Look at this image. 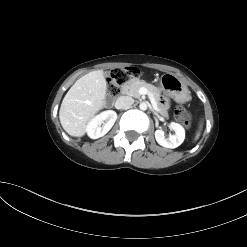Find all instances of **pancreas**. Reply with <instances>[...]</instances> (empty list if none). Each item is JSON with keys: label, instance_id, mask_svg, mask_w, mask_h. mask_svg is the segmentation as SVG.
I'll return each mask as SVG.
<instances>
[{"label": "pancreas", "instance_id": "pancreas-1", "mask_svg": "<svg viewBox=\"0 0 247 247\" xmlns=\"http://www.w3.org/2000/svg\"><path fill=\"white\" fill-rule=\"evenodd\" d=\"M141 87H145L146 89H148V91H150L154 95L156 105H157V111L162 116L167 117L168 107L160 103V93L154 85L146 83L145 81L139 80L137 78H133V79L128 80L121 86V93L129 95V96H133L135 98H140L141 94L139 93V89Z\"/></svg>", "mask_w": 247, "mask_h": 247}]
</instances>
